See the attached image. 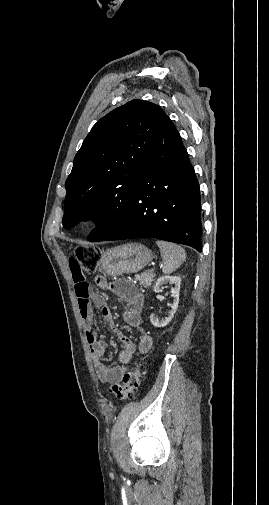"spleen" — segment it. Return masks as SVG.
I'll return each instance as SVG.
<instances>
[{"instance_id": "1", "label": "spleen", "mask_w": 269, "mask_h": 505, "mask_svg": "<svg viewBox=\"0 0 269 505\" xmlns=\"http://www.w3.org/2000/svg\"><path fill=\"white\" fill-rule=\"evenodd\" d=\"M163 259L162 272L170 274L174 272L186 259L185 250L175 243L156 241Z\"/></svg>"}]
</instances>
